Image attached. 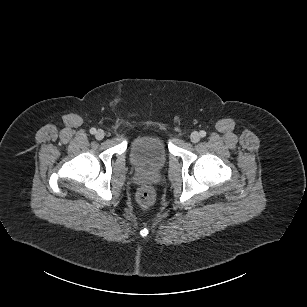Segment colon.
<instances>
[{
	"mask_svg": "<svg viewBox=\"0 0 307 307\" xmlns=\"http://www.w3.org/2000/svg\"><path fill=\"white\" fill-rule=\"evenodd\" d=\"M137 200L144 208H151L156 202V196L151 188L143 187L137 193Z\"/></svg>",
	"mask_w": 307,
	"mask_h": 307,
	"instance_id": "1",
	"label": "colon"
}]
</instances>
